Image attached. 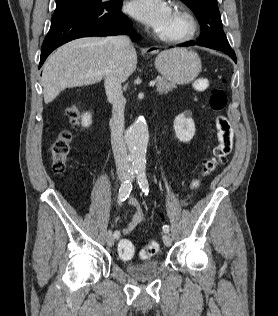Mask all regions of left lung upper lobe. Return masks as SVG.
<instances>
[{"label": "left lung upper lobe", "mask_w": 278, "mask_h": 316, "mask_svg": "<svg viewBox=\"0 0 278 316\" xmlns=\"http://www.w3.org/2000/svg\"><path fill=\"white\" fill-rule=\"evenodd\" d=\"M181 1L194 12L200 22L201 34L197 43L223 51L226 54H233L236 57L223 31L217 0Z\"/></svg>", "instance_id": "obj_1"}]
</instances>
